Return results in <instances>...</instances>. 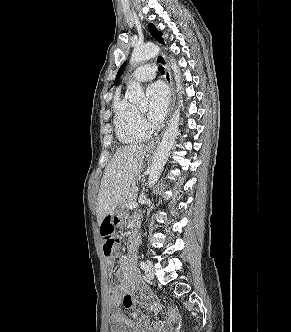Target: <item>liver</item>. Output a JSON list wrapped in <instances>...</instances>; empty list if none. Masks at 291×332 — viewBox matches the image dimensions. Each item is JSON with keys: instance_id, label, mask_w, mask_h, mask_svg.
<instances>
[{"instance_id": "obj_1", "label": "liver", "mask_w": 291, "mask_h": 332, "mask_svg": "<svg viewBox=\"0 0 291 332\" xmlns=\"http://www.w3.org/2000/svg\"><path fill=\"white\" fill-rule=\"evenodd\" d=\"M147 150L143 144L130 145L114 154L104 171L97 195L98 224L114 213L121 196L139 175Z\"/></svg>"}]
</instances>
